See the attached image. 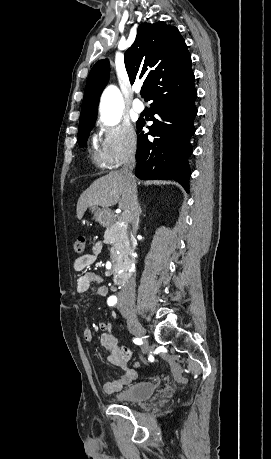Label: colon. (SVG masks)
<instances>
[{
	"instance_id": "colon-1",
	"label": "colon",
	"mask_w": 271,
	"mask_h": 459,
	"mask_svg": "<svg viewBox=\"0 0 271 459\" xmlns=\"http://www.w3.org/2000/svg\"><path fill=\"white\" fill-rule=\"evenodd\" d=\"M85 247H86V239L84 236H78L74 242L72 243V252L75 255H84L85 252ZM120 356L124 360H129L130 358V350L128 348H121L120 349Z\"/></svg>"
}]
</instances>
